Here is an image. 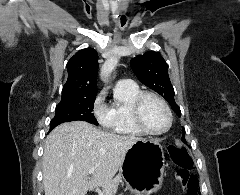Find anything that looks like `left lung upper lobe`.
Here are the masks:
<instances>
[{"label":"left lung upper lobe","instance_id":"obj_1","mask_svg":"<svg viewBox=\"0 0 240 195\" xmlns=\"http://www.w3.org/2000/svg\"><path fill=\"white\" fill-rule=\"evenodd\" d=\"M130 65L137 78L144 85L164 97L173 111L180 117L181 111L174 100L175 92L168 76L167 64L163 57L155 51H149L131 59ZM183 134H185L184 128Z\"/></svg>","mask_w":240,"mask_h":195}]
</instances>
